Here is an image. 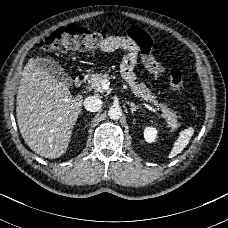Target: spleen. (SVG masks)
<instances>
[{"label":"spleen","instance_id":"spleen-1","mask_svg":"<svg viewBox=\"0 0 228 228\" xmlns=\"http://www.w3.org/2000/svg\"><path fill=\"white\" fill-rule=\"evenodd\" d=\"M194 134V127L188 126L187 128L183 129L177 139L174 141L173 146L167 155L168 159L176 157L178 154H180L188 145L189 141L191 140L192 136Z\"/></svg>","mask_w":228,"mask_h":228}]
</instances>
